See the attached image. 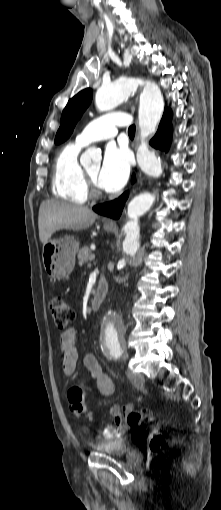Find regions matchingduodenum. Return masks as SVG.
<instances>
[{
  "label": "duodenum",
  "instance_id": "duodenum-1",
  "mask_svg": "<svg viewBox=\"0 0 221 510\" xmlns=\"http://www.w3.org/2000/svg\"><path fill=\"white\" fill-rule=\"evenodd\" d=\"M106 294H107V283L105 280L101 279V280H99V282L97 284L96 291L90 301V307L92 310H97L101 306Z\"/></svg>",
  "mask_w": 221,
  "mask_h": 510
}]
</instances>
